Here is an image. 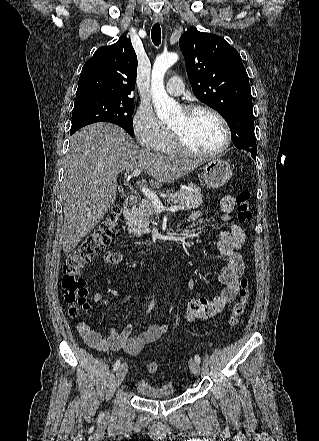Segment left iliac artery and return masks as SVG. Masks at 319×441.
Masks as SVG:
<instances>
[{
    "label": "left iliac artery",
    "instance_id": "obj_1",
    "mask_svg": "<svg viewBox=\"0 0 319 441\" xmlns=\"http://www.w3.org/2000/svg\"><path fill=\"white\" fill-rule=\"evenodd\" d=\"M195 360L198 362V363H200L201 362V358H200V356L199 355H195Z\"/></svg>",
    "mask_w": 319,
    "mask_h": 441
}]
</instances>
